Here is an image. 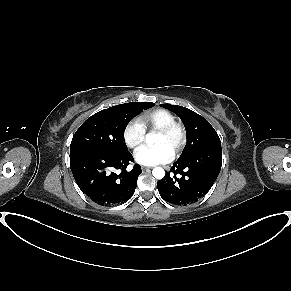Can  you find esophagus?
I'll use <instances>...</instances> for the list:
<instances>
[{"instance_id": "34e87169", "label": "esophagus", "mask_w": 291, "mask_h": 291, "mask_svg": "<svg viewBox=\"0 0 291 291\" xmlns=\"http://www.w3.org/2000/svg\"><path fill=\"white\" fill-rule=\"evenodd\" d=\"M149 169H151V167H147V166L142 167V170H149Z\"/></svg>"}]
</instances>
